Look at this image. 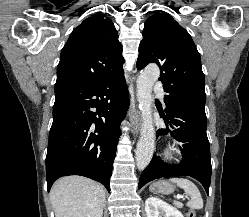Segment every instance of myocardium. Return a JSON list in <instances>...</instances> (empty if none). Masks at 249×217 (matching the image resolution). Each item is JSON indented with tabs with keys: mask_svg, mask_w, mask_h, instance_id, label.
Instances as JSON below:
<instances>
[{
	"mask_svg": "<svg viewBox=\"0 0 249 217\" xmlns=\"http://www.w3.org/2000/svg\"><path fill=\"white\" fill-rule=\"evenodd\" d=\"M180 155V151L175 146H169L165 151V156L169 160H173Z\"/></svg>",
	"mask_w": 249,
	"mask_h": 217,
	"instance_id": "myocardium-1",
	"label": "myocardium"
}]
</instances>
